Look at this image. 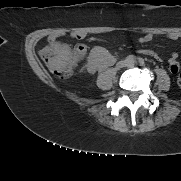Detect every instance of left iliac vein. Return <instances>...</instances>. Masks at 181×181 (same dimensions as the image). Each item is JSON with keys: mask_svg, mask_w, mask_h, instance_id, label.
Masks as SVG:
<instances>
[{"mask_svg": "<svg viewBox=\"0 0 181 181\" xmlns=\"http://www.w3.org/2000/svg\"><path fill=\"white\" fill-rule=\"evenodd\" d=\"M128 66H129V67H133L134 64H133V63H129Z\"/></svg>", "mask_w": 181, "mask_h": 181, "instance_id": "obj_1", "label": "left iliac vein"}]
</instances>
